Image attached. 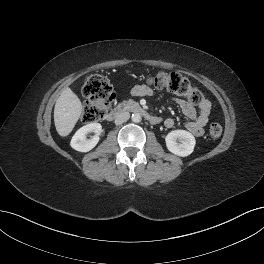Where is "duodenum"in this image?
<instances>
[{"label":"duodenum","instance_id":"1","mask_svg":"<svg viewBox=\"0 0 264 264\" xmlns=\"http://www.w3.org/2000/svg\"><path fill=\"white\" fill-rule=\"evenodd\" d=\"M125 112H133L141 115L152 124H157L161 119L149 113L143 106L133 101H124L113 108L107 115V120L112 121Z\"/></svg>","mask_w":264,"mask_h":264}]
</instances>
